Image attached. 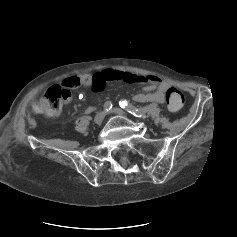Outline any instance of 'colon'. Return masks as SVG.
Listing matches in <instances>:
<instances>
[{
    "label": "colon",
    "mask_w": 237,
    "mask_h": 237,
    "mask_svg": "<svg viewBox=\"0 0 237 237\" xmlns=\"http://www.w3.org/2000/svg\"><path fill=\"white\" fill-rule=\"evenodd\" d=\"M77 85L76 80L70 79L65 80L62 86H51L32 104V111L46 117L57 115L63 103L70 98V89ZM166 103L170 111L177 112L184 104V96L178 89L170 87L166 92Z\"/></svg>",
    "instance_id": "1"
}]
</instances>
